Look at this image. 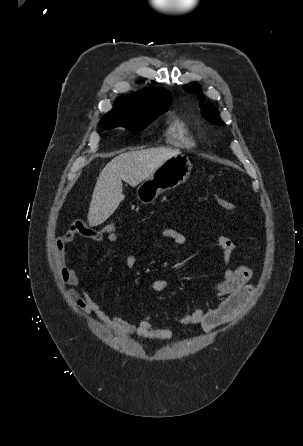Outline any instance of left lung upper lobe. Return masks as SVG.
I'll return each instance as SVG.
<instances>
[{
  "mask_svg": "<svg viewBox=\"0 0 303 446\" xmlns=\"http://www.w3.org/2000/svg\"><path fill=\"white\" fill-rule=\"evenodd\" d=\"M184 89H185V91L190 92V93H192L194 91L198 92V98L201 99L200 107L202 108V114L208 122H210L212 124L225 125V123L221 120L216 109L213 106H211V105L204 106L203 105V102H204L203 93L200 90L199 86H196V85H194L192 87L185 86Z\"/></svg>",
  "mask_w": 303,
  "mask_h": 446,
  "instance_id": "1",
  "label": "left lung upper lobe"
}]
</instances>
